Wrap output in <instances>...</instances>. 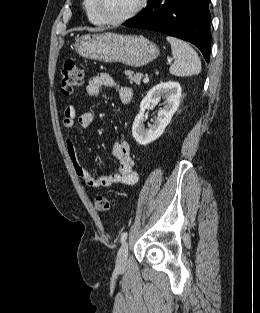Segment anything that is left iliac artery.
<instances>
[{
    "label": "left iliac artery",
    "mask_w": 260,
    "mask_h": 313,
    "mask_svg": "<svg viewBox=\"0 0 260 313\" xmlns=\"http://www.w3.org/2000/svg\"><path fill=\"white\" fill-rule=\"evenodd\" d=\"M126 238H127V232H123L122 235H121L120 241L124 242L126 240Z\"/></svg>",
    "instance_id": "1"
}]
</instances>
